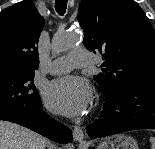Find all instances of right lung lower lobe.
<instances>
[{"label": "right lung lower lobe", "instance_id": "right-lung-lower-lobe-1", "mask_svg": "<svg viewBox=\"0 0 155 149\" xmlns=\"http://www.w3.org/2000/svg\"><path fill=\"white\" fill-rule=\"evenodd\" d=\"M0 120L17 123L58 143L72 142V131L47 115L41 102L29 115L0 113Z\"/></svg>", "mask_w": 155, "mask_h": 149}]
</instances>
